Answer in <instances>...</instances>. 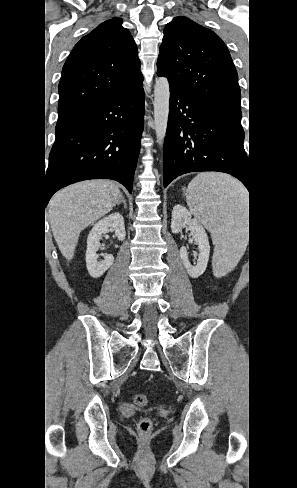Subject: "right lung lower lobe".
<instances>
[{
    "instance_id": "1",
    "label": "right lung lower lobe",
    "mask_w": 297,
    "mask_h": 488,
    "mask_svg": "<svg viewBox=\"0 0 297 488\" xmlns=\"http://www.w3.org/2000/svg\"><path fill=\"white\" fill-rule=\"evenodd\" d=\"M143 78L56 125L44 187L46 206L59 189L88 179H113L132 192L143 130Z\"/></svg>"
}]
</instances>
